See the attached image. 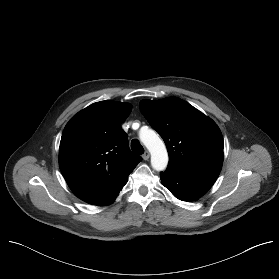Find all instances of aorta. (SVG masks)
Segmentation results:
<instances>
[{"label":"aorta","instance_id":"1","mask_svg":"<svg viewBox=\"0 0 279 279\" xmlns=\"http://www.w3.org/2000/svg\"><path fill=\"white\" fill-rule=\"evenodd\" d=\"M140 139L151 154V166L156 171H163L168 164V153L164 142L151 129L140 132Z\"/></svg>","mask_w":279,"mask_h":279}]
</instances>
